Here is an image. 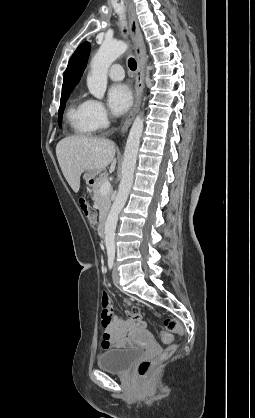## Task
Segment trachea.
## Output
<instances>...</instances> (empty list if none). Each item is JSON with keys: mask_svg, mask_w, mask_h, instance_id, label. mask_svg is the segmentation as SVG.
<instances>
[{"mask_svg": "<svg viewBox=\"0 0 255 418\" xmlns=\"http://www.w3.org/2000/svg\"><path fill=\"white\" fill-rule=\"evenodd\" d=\"M128 66H129V68H130L132 71L136 70V68H137V63H136V61H135V59H134V58H130V59L128 60Z\"/></svg>", "mask_w": 255, "mask_h": 418, "instance_id": "trachea-1", "label": "trachea"}]
</instances>
